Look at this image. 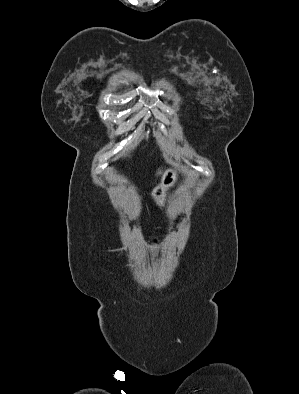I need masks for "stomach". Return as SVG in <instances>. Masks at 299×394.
<instances>
[{"instance_id": "obj_1", "label": "stomach", "mask_w": 299, "mask_h": 394, "mask_svg": "<svg viewBox=\"0 0 299 394\" xmlns=\"http://www.w3.org/2000/svg\"><path fill=\"white\" fill-rule=\"evenodd\" d=\"M180 179V171L176 167L168 168L162 174L161 182L151 195L158 206H164L168 190L176 186Z\"/></svg>"}]
</instances>
